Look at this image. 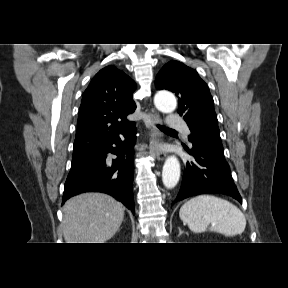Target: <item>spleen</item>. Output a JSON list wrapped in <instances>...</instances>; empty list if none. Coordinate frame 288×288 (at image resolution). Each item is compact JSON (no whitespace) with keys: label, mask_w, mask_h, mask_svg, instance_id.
Returning a JSON list of instances; mask_svg holds the SVG:
<instances>
[{"label":"spleen","mask_w":288,"mask_h":288,"mask_svg":"<svg viewBox=\"0 0 288 288\" xmlns=\"http://www.w3.org/2000/svg\"><path fill=\"white\" fill-rule=\"evenodd\" d=\"M179 217L194 233L209 229L231 237L241 234L246 227V218L237 206L213 195L190 199L180 208Z\"/></svg>","instance_id":"3e777b00"}]
</instances>
